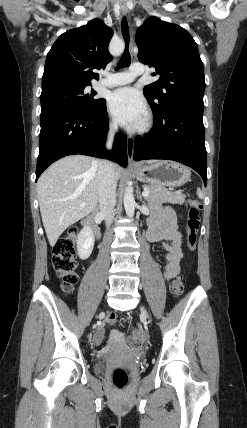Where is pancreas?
Instances as JSON below:
<instances>
[{
  "label": "pancreas",
  "instance_id": "obj_1",
  "mask_svg": "<svg viewBox=\"0 0 247 428\" xmlns=\"http://www.w3.org/2000/svg\"><path fill=\"white\" fill-rule=\"evenodd\" d=\"M144 190L149 191V195L146 199L153 203H165L169 202L172 204H183L185 201V195L177 192H171L164 186L159 185H143Z\"/></svg>",
  "mask_w": 247,
  "mask_h": 428
}]
</instances>
